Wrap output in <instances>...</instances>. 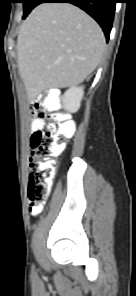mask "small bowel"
<instances>
[{"label": "small bowel", "mask_w": 136, "mask_h": 296, "mask_svg": "<svg viewBox=\"0 0 136 296\" xmlns=\"http://www.w3.org/2000/svg\"><path fill=\"white\" fill-rule=\"evenodd\" d=\"M41 123L39 121H34L32 124V131H36L40 128ZM42 210V208L39 210V212L37 213H32L33 215H37L38 213H40Z\"/></svg>", "instance_id": "c3829d8e"}]
</instances>
